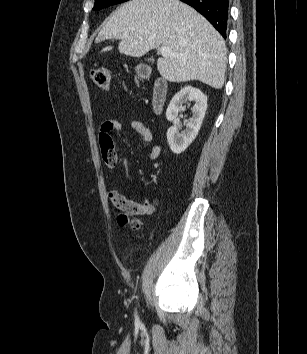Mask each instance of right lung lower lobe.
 <instances>
[{"instance_id":"98d812e1","label":"right lung lower lobe","mask_w":307,"mask_h":354,"mask_svg":"<svg viewBox=\"0 0 307 354\" xmlns=\"http://www.w3.org/2000/svg\"><path fill=\"white\" fill-rule=\"evenodd\" d=\"M200 12L226 38L229 0H181Z\"/></svg>"}]
</instances>
